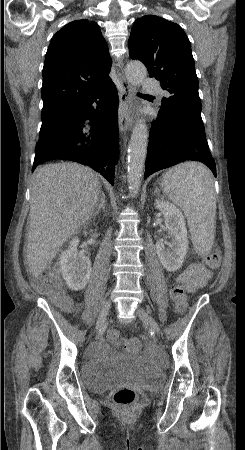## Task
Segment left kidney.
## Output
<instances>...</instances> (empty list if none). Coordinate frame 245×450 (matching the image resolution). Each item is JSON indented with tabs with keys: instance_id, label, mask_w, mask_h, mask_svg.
<instances>
[{
	"instance_id": "1",
	"label": "left kidney",
	"mask_w": 245,
	"mask_h": 450,
	"mask_svg": "<svg viewBox=\"0 0 245 450\" xmlns=\"http://www.w3.org/2000/svg\"><path fill=\"white\" fill-rule=\"evenodd\" d=\"M155 207L163 214L170 242H156V251L163 267L169 272L179 270L187 254V229L182 212L172 203L155 200ZM167 245V247H166Z\"/></svg>"
}]
</instances>
